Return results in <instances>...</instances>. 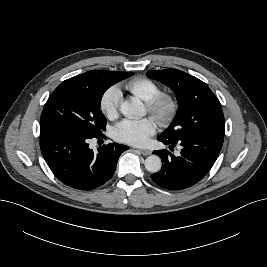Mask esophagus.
I'll return each mask as SVG.
<instances>
[{
    "mask_svg": "<svg viewBox=\"0 0 267 267\" xmlns=\"http://www.w3.org/2000/svg\"><path fill=\"white\" fill-rule=\"evenodd\" d=\"M137 151H139L144 156H147V155L151 154V151L147 150V149H138Z\"/></svg>",
    "mask_w": 267,
    "mask_h": 267,
    "instance_id": "34e87169",
    "label": "esophagus"
}]
</instances>
